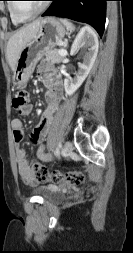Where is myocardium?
<instances>
[{
	"instance_id": "f54148a6",
	"label": "myocardium",
	"mask_w": 133,
	"mask_h": 253,
	"mask_svg": "<svg viewBox=\"0 0 133 253\" xmlns=\"http://www.w3.org/2000/svg\"><path fill=\"white\" fill-rule=\"evenodd\" d=\"M15 2H10L9 3V7H10V11L13 15V17L18 21V22H27V21H30L34 18H36L37 16H39L40 14H42L48 7V2L45 1L44 4L35 12L33 13L32 15H29V16H22L18 13V11L16 10L15 8V5H14Z\"/></svg>"
}]
</instances>
